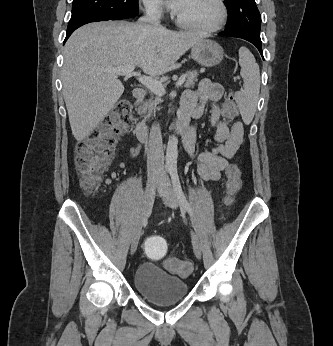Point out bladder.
Listing matches in <instances>:
<instances>
[{
	"mask_svg": "<svg viewBox=\"0 0 333 346\" xmlns=\"http://www.w3.org/2000/svg\"><path fill=\"white\" fill-rule=\"evenodd\" d=\"M133 284L140 295L155 304L175 303L188 293V284L183 279L152 263H143L138 267Z\"/></svg>",
	"mask_w": 333,
	"mask_h": 346,
	"instance_id": "bladder-1",
	"label": "bladder"
}]
</instances>
